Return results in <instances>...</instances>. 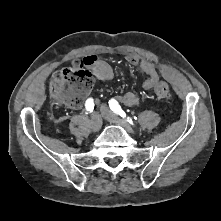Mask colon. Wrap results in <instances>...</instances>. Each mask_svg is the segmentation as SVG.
<instances>
[{
    "label": "colon",
    "instance_id": "5ec220e1",
    "mask_svg": "<svg viewBox=\"0 0 221 221\" xmlns=\"http://www.w3.org/2000/svg\"><path fill=\"white\" fill-rule=\"evenodd\" d=\"M86 66L88 65L83 60L54 73L49 82L50 92L60 101L72 107H79L94 85L93 76ZM154 92L159 99L171 98L169 86L164 81L156 84Z\"/></svg>",
    "mask_w": 221,
    "mask_h": 221
}]
</instances>
